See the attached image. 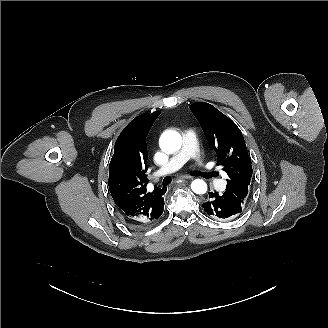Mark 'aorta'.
Returning a JSON list of instances; mask_svg holds the SVG:
<instances>
[{
  "instance_id": "1",
  "label": "aorta",
  "mask_w": 328,
  "mask_h": 328,
  "mask_svg": "<svg viewBox=\"0 0 328 328\" xmlns=\"http://www.w3.org/2000/svg\"><path fill=\"white\" fill-rule=\"evenodd\" d=\"M160 144L166 152H175L182 146V137L178 132L169 130L161 135ZM191 189L196 194H204L207 184L201 179H195L191 183Z\"/></svg>"
}]
</instances>
